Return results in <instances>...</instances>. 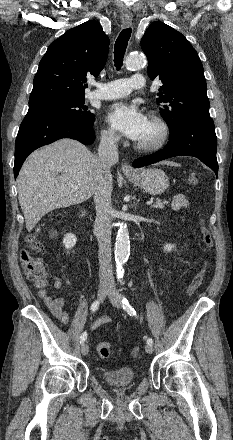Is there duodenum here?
I'll list each match as a JSON object with an SVG mask.
<instances>
[{
  "mask_svg": "<svg viewBox=\"0 0 233 440\" xmlns=\"http://www.w3.org/2000/svg\"><path fill=\"white\" fill-rule=\"evenodd\" d=\"M84 216V214H81V217H83Z\"/></svg>",
  "mask_w": 233,
  "mask_h": 440,
  "instance_id": "obj_1",
  "label": "duodenum"
}]
</instances>
